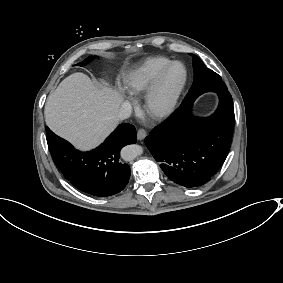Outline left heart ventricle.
Segmentation results:
<instances>
[{
	"label": "left heart ventricle",
	"instance_id": "obj_1",
	"mask_svg": "<svg viewBox=\"0 0 283 283\" xmlns=\"http://www.w3.org/2000/svg\"><path fill=\"white\" fill-rule=\"evenodd\" d=\"M184 69L180 64L174 65L163 77L160 84L159 103H164L181 84Z\"/></svg>",
	"mask_w": 283,
	"mask_h": 283
}]
</instances>
